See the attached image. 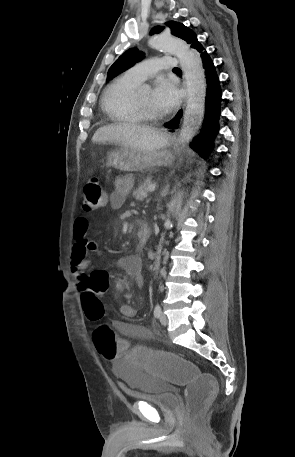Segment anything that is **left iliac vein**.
<instances>
[{
  "instance_id": "left-iliac-vein-1",
  "label": "left iliac vein",
  "mask_w": 295,
  "mask_h": 457,
  "mask_svg": "<svg viewBox=\"0 0 295 457\" xmlns=\"http://www.w3.org/2000/svg\"><path fill=\"white\" fill-rule=\"evenodd\" d=\"M160 322L164 326H166L168 324V318L164 313H161V315H160Z\"/></svg>"
}]
</instances>
